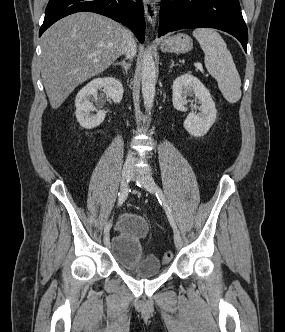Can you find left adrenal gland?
<instances>
[{"label":"left adrenal gland","mask_w":285,"mask_h":332,"mask_svg":"<svg viewBox=\"0 0 285 332\" xmlns=\"http://www.w3.org/2000/svg\"><path fill=\"white\" fill-rule=\"evenodd\" d=\"M174 66H175V62H174L173 59H171V66H170V68H172V67H174Z\"/></svg>","instance_id":"left-adrenal-gland-1"}]
</instances>
